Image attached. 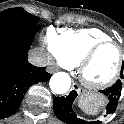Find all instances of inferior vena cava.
<instances>
[{
	"label": "inferior vena cava",
	"mask_w": 124,
	"mask_h": 124,
	"mask_svg": "<svg viewBox=\"0 0 124 124\" xmlns=\"http://www.w3.org/2000/svg\"><path fill=\"white\" fill-rule=\"evenodd\" d=\"M29 62L36 66L45 65V57L38 51H33L29 55Z\"/></svg>",
	"instance_id": "1"
}]
</instances>
